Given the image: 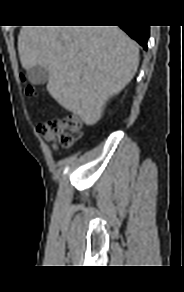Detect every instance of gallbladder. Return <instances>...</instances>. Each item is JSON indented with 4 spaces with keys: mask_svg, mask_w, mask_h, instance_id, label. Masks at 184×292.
<instances>
[{
    "mask_svg": "<svg viewBox=\"0 0 184 292\" xmlns=\"http://www.w3.org/2000/svg\"><path fill=\"white\" fill-rule=\"evenodd\" d=\"M28 77L32 84H45L49 79V71L47 68L36 65L27 70Z\"/></svg>",
    "mask_w": 184,
    "mask_h": 292,
    "instance_id": "bac80fb5",
    "label": "gallbladder"
}]
</instances>
